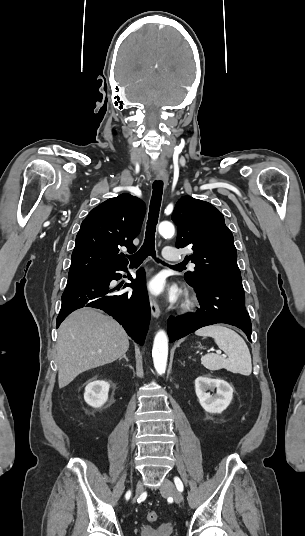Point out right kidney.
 <instances>
[{"label": "right kidney", "mask_w": 305, "mask_h": 536, "mask_svg": "<svg viewBox=\"0 0 305 536\" xmlns=\"http://www.w3.org/2000/svg\"><path fill=\"white\" fill-rule=\"evenodd\" d=\"M110 384L104 382V380H97L92 378L91 382L87 384L84 392V400L93 406V408H101L108 400Z\"/></svg>", "instance_id": "ca27d5eb"}]
</instances>
